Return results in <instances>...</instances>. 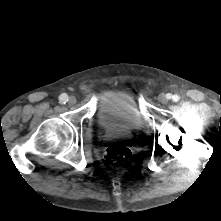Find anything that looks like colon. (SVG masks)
Returning a JSON list of instances; mask_svg holds the SVG:
<instances>
[{
	"instance_id": "obj_1",
	"label": "colon",
	"mask_w": 221,
	"mask_h": 221,
	"mask_svg": "<svg viewBox=\"0 0 221 221\" xmlns=\"http://www.w3.org/2000/svg\"><path fill=\"white\" fill-rule=\"evenodd\" d=\"M104 157L110 166L119 167L129 161L131 151L127 146L115 143L106 148Z\"/></svg>"
}]
</instances>
